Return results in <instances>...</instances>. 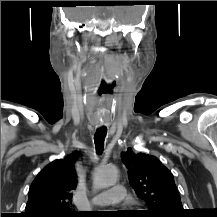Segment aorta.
<instances>
[{
  "label": "aorta",
  "instance_id": "obj_1",
  "mask_svg": "<svg viewBox=\"0 0 217 217\" xmlns=\"http://www.w3.org/2000/svg\"><path fill=\"white\" fill-rule=\"evenodd\" d=\"M117 182V169L115 166L107 165L96 169L93 177V187L104 189L113 186Z\"/></svg>",
  "mask_w": 217,
  "mask_h": 217
}]
</instances>
